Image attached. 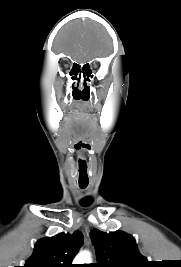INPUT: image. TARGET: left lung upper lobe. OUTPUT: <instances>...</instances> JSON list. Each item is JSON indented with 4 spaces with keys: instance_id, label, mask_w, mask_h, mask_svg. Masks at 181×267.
<instances>
[{
    "instance_id": "5c2ea615",
    "label": "left lung upper lobe",
    "mask_w": 181,
    "mask_h": 267,
    "mask_svg": "<svg viewBox=\"0 0 181 267\" xmlns=\"http://www.w3.org/2000/svg\"><path fill=\"white\" fill-rule=\"evenodd\" d=\"M97 263L93 267H149L150 262L137 248L133 236L115 231L109 234L98 229L90 231Z\"/></svg>"
}]
</instances>
